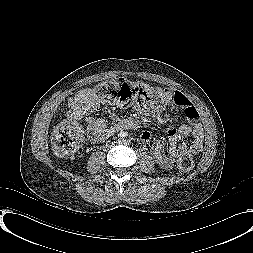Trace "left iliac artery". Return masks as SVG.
I'll use <instances>...</instances> for the list:
<instances>
[{"label": "left iliac artery", "instance_id": "left-iliac-artery-1", "mask_svg": "<svg viewBox=\"0 0 253 253\" xmlns=\"http://www.w3.org/2000/svg\"><path fill=\"white\" fill-rule=\"evenodd\" d=\"M126 144H128V145H129V144H130V140H127V141H126Z\"/></svg>", "mask_w": 253, "mask_h": 253}]
</instances>
